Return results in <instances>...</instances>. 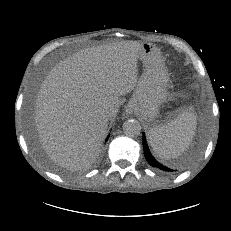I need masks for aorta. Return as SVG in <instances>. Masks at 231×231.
Masks as SVG:
<instances>
[{
	"instance_id": "aorta-1",
	"label": "aorta",
	"mask_w": 231,
	"mask_h": 231,
	"mask_svg": "<svg viewBox=\"0 0 231 231\" xmlns=\"http://www.w3.org/2000/svg\"><path fill=\"white\" fill-rule=\"evenodd\" d=\"M123 131L129 137H136L141 132V125L135 119H129L123 123Z\"/></svg>"
}]
</instances>
